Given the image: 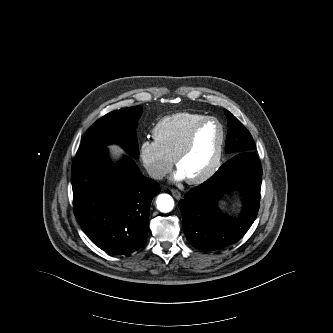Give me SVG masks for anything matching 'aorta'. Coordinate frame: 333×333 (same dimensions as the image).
I'll return each mask as SVG.
<instances>
[{"instance_id":"1","label":"aorta","mask_w":333,"mask_h":333,"mask_svg":"<svg viewBox=\"0 0 333 333\" xmlns=\"http://www.w3.org/2000/svg\"><path fill=\"white\" fill-rule=\"evenodd\" d=\"M157 208L163 213H168L174 208V200L169 194H160L156 200Z\"/></svg>"}]
</instances>
